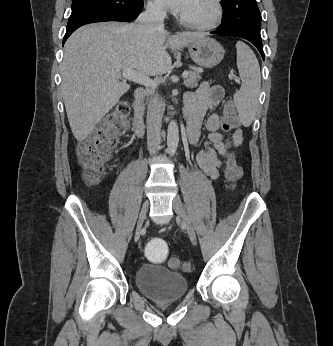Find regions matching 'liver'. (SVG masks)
Masks as SVG:
<instances>
[{"label":"liver","instance_id":"6515ba94","mask_svg":"<svg viewBox=\"0 0 333 346\" xmlns=\"http://www.w3.org/2000/svg\"><path fill=\"white\" fill-rule=\"evenodd\" d=\"M203 37L194 32H151L137 23H95L77 29L65 43L61 65L62 96L76 140H85L130 89L120 81L121 71L163 75L172 64L168 47L180 49Z\"/></svg>","mask_w":333,"mask_h":346}]
</instances>
